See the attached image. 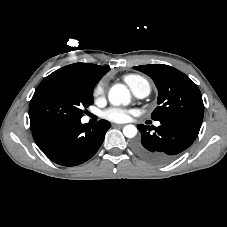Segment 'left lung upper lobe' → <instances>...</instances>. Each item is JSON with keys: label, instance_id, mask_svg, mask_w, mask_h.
Returning <instances> with one entry per match:
<instances>
[{"label": "left lung upper lobe", "instance_id": "obj_1", "mask_svg": "<svg viewBox=\"0 0 227 227\" xmlns=\"http://www.w3.org/2000/svg\"><path fill=\"white\" fill-rule=\"evenodd\" d=\"M134 69L153 79L158 89V107L153 120L187 118L203 120L204 105L197 85L181 71L164 64L135 66Z\"/></svg>", "mask_w": 227, "mask_h": 227}]
</instances>
